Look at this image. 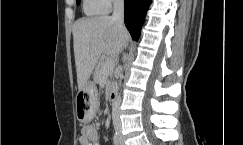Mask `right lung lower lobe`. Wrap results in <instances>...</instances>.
<instances>
[{
  "label": "right lung lower lobe",
  "instance_id": "1",
  "mask_svg": "<svg viewBox=\"0 0 243 145\" xmlns=\"http://www.w3.org/2000/svg\"><path fill=\"white\" fill-rule=\"evenodd\" d=\"M151 0H124L125 25L132 38L138 40Z\"/></svg>",
  "mask_w": 243,
  "mask_h": 145
}]
</instances>
